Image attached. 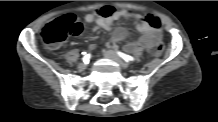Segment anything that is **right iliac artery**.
<instances>
[{
    "instance_id": "1",
    "label": "right iliac artery",
    "mask_w": 218,
    "mask_h": 122,
    "mask_svg": "<svg viewBox=\"0 0 218 122\" xmlns=\"http://www.w3.org/2000/svg\"><path fill=\"white\" fill-rule=\"evenodd\" d=\"M90 57H91L90 54H86V53H85V55H84V57L82 58V60H83L85 63H87V62L89 61Z\"/></svg>"
}]
</instances>
